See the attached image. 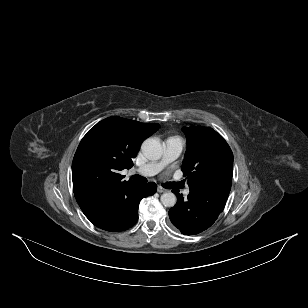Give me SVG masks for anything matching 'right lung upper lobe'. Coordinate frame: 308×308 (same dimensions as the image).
<instances>
[{"instance_id": "1", "label": "right lung upper lobe", "mask_w": 308, "mask_h": 308, "mask_svg": "<svg viewBox=\"0 0 308 308\" xmlns=\"http://www.w3.org/2000/svg\"><path fill=\"white\" fill-rule=\"evenodd\" d=\"M159 127L112 116L87 132L72 163L73 191L86 216L113 209L138 185L119 172L132 167L142 141Z\"/></svg>"}]
</instances>
